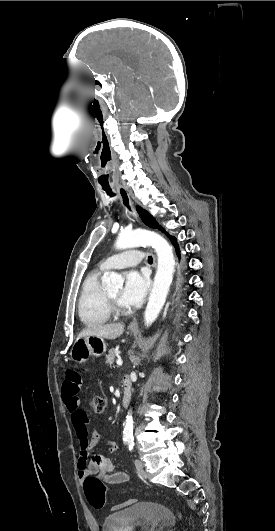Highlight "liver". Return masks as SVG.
Instances as JSON below:
<instances>
[{
    "instance_id": "6515ba94",
    "label": "liver",
    "mask_w": 275,
    "mask_h": 531,
    "mask_svg": "<svg viewBox=\"0 0 275 531\" xmlns=\"http://www.w3.org/2000/svg\"><path fill=\"white\" fill-rule=\"evenodd\" d=\"M124 331V325L122 323H111V325H89L87 329H83L79 333L77 339L81 337H102V339H117Z\"/></svg>"
}]
</instances>
